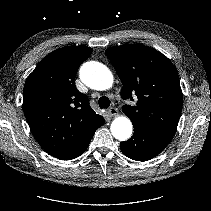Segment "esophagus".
I'll return each mask as SVG.
<instances>
[{
  "label": "esophagus",
  "mask_w": 211,
  "mask_h": 211,
  "mask_svg": "<svg viewBox=\"0 0 211 211\" xmlns=\"http://www.w3.org/2000/svg\"><path fill=\"white\" fill-rule=\"evenodd\" d=\"M108 114H109L110 116H116V115L118 114L117 108L111 107V108L108 110Z\"/></svg>",
  "instance_id": "obj_1"
}]
</instances>
